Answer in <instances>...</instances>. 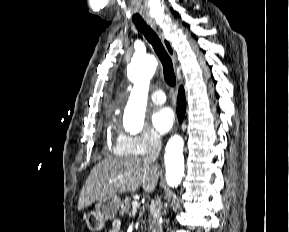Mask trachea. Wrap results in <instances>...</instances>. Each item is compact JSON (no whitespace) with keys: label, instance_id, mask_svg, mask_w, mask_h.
Instances as JSON below:
<instances>
[{"label":"trachea","instance_id":"trachea-1","mask_svg":"<svg viewBox=\"0 0 289 232\" xmlns=\"http://www.w3.org/2000/svg\"><path fill=\"white\" fill-rule=\"evenodd\" d=\"M136 26L139 31L145 36L148 42L153 46L154 51L159 57L163 66V74L166 83L170 87H175L176 76L173 69V63L164 46L162 45L160 39L147 24H136Z\"/></svg>","mask_w":289,"mask_h":232}]
</instances>
